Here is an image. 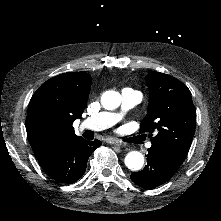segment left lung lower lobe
Listing matches in <instances>:
<instances>
[{"label": "left lung lower lobe", "instance_id": "obj_1", "mask_svg": "<svg viewBox=\"0 0 221 221\" xmlns=\"http://www.w3.org/2000/svg\"><path fill=\"white\" fill-rule=\"evenodd\" d=\"M146 156L147 165L144 169L131 174L133 182L145 189L164 184L182 165L166 149L157 145H152Z\"/></svg>", "mask_w": 221, "mask_h": 221}]
</instances>
